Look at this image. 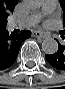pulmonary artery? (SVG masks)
I'll return each mask as SVG.
<instances>
[{"label":"pulmonary artery","mask_w":65,"mask_h":89,"mask_svg":"<svg viewBox=\"0 0 65 89\" xmlns=\"http://www.w3.org/2000/svg\"><path fill=\"white\" fill-rule=\"evenodd\" d=\"M57 7L55 0H45L39 11L33 12L27 16L12 19L9 22L11 29L14 28H28L37 24L45 15L52 13Z\"/></svg>","instance_id":"e3ab8cb5"}]
</instances>
